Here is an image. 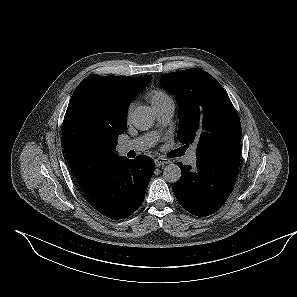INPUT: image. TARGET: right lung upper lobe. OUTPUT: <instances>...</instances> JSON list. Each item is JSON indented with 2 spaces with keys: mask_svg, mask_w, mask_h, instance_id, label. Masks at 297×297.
<instances>
[{
  "mask_svg": "<svg viewBox=\"0 0 297 297\" xmlns=\"http://www.w3.org/2000/svg\"><path fill=\"white\" fill-rule=\"evenodd\" d=\"M152 76L136 78L91 75L75 89L65 113L63 147L85 195L119 156L115 146L126 126L127 111Z\"/></svg>",
  "mask_w": 297,
  "mask_h": 297,
  "instance_id": "obj_1",
  "label": "right lung upper lobe"
}]
</instances>
